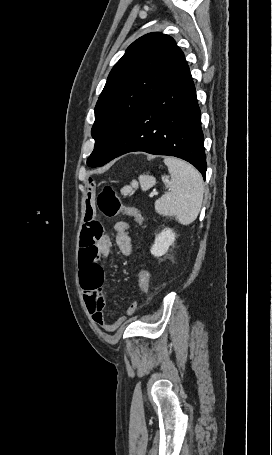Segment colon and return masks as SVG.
<instances>
[{"label": "colon", "instance_id": "5ec220e1", "mask_svg": "<svg viewBox=\"0 0 272 455\" xmlns=\"http://www.w3.org/2000/svg\"><path fill=\"white\" fill-rule=\"evenodd\" d=\"M98 207L107 217H115L124 214L133 218L136 222L140 221V214L136 207L124 205L118 195L110 187H105L98 196ZM150 282V273L147 268L141 267L138 273V290L141 301L147 295Z\"/></svg>", "mask_w": 272, "mask_h": 455}]
</instances>
